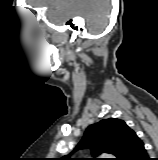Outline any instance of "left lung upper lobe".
<instances>
[{
	"label": "left lung upper lobe",
	"instance_id": "5c2ea615",
	"mask_svg": "<svg viewBox=\"0 0 158 160\" xmlns=\"http://www.w3.org/2000/svg\"><path fill=\"white\" fill-rule=\"evenodd\" d=\"M134 131L123 121L117 118L100 120L86 129L82 140L75 147L74 152L81 149H90L93 158H68L59 160H103L96 158L102 153L116 156L113 160H122Z\"/></svg>",
	"mask_w": 158,
	"mask_h": 160
}]
</instances>
